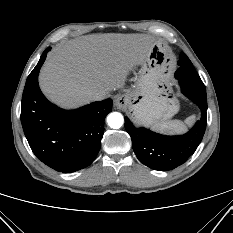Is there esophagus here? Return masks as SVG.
Wrapping results in <instances>:
<instances>
[{"instance_id":"34e87169","label":"esophagus","mask_w":233,"mask_h":233,"mask_svg":"<svg viewBox=\"0 0 233 233\" xmlns=\"http://www.w3.org/2000/svg\"><path fill=\"white\" fill-rule=\"evenodd\" d=\"M114 104L117 109H125L129 104V100L126 96H118L115 99Z\"/></svg>"}]
</instances>
